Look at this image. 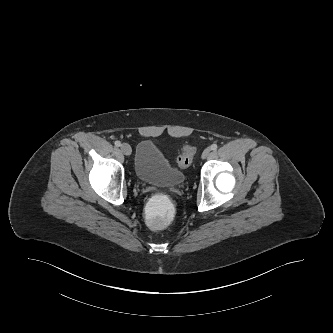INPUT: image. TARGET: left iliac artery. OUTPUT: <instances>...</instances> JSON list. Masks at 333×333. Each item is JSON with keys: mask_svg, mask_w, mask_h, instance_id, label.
Returning <instances> with one entry per match:
<instances>
[{"mask_svg": "<svg viewBox=\"0 0 333 333\" xmlns=\"http://www.w3.org/2000/svg\"><path fill=\"white\" fill-rule=\"evenodd\" d=\"M210 148L211 150H216L218 148V145L216 143H213Z\"/></svg>", "mask_w": 333, "mask_h": 333, "instance_id": "obj_1", "label": "left iliac artery"}]
</instances>
